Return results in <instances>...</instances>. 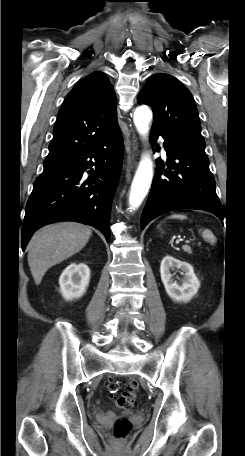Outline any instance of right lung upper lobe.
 I'll return each instance as SVG.
<instances>
[{
    "label": "right lung upper lobe",
    "instance_id": "obj_1",
    "mask_svg": "<svg viewBox=\"0 0 245 456\" xmlns=\"http://www.w3.org/2000/svg\"><path fill=\"white\" fill-rule=\"evenodd\" d=\"M118 131L112 85L104 73L93 72L80 80L64 100L44 168L63 164Z\"/></svg>",
    "mask_w": 245,
    "mask_h": 456
}]
</instances>
